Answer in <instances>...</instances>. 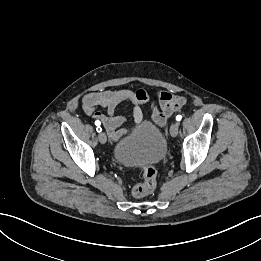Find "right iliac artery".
<instances>
[{"mask_svg":"<svg viewBox=\"0 0 261 261\" xmlns=\"http://www.w3.org/2000/svg\"><path fill=\"white\" fill-rule=\"evenodd\" d=\"M95 125L97 126L96 131H97V132H101V131H102V128L100 127L101 123H100L99 120H96V121H95Z\"/></svg>","mask_w":261,"mask_h":261,"instance_id":"right-iliac-artery-1","label":"right iliac artery"}]
</instances>
